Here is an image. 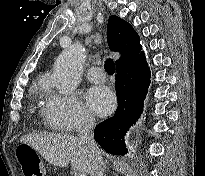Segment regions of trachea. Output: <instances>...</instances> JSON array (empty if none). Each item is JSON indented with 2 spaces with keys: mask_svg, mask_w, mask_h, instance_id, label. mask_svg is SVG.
Wrapping results in <instances>:
<instances>
[{
  "mask_svg": "<svg viewBox=\"0 0 205 176\" xmlns=\"http://www.w3.org/2000/svg\"><path fill=\"white\" fill-rule=\"evenodd\" d=\"M104 68L111 75L115 73V65H114V62L111 59H106L105 60Z\"/></svg>",
  "mask_w": 205,
  "mask_h": 176,
  "instance_id": "1",
  "label": "trachea"
}]
</instances>
